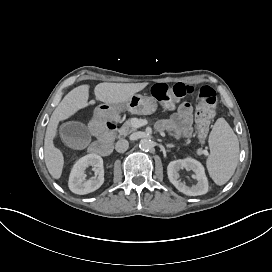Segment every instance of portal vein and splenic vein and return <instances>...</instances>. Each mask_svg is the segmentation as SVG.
I'll use <instances>...</instances> for the list:
<instances>
[{
    "mask_svg": "<svg viewBox=\"0 0 272 272\" xmlns=\"http://www.w3.org/2000/svg\"><path fill=\"white\" fill-rule=\"evenodd\" d=\"M148 124H149V120L148 119H144V118H133L132 119V126L135 129L144 127V126H146Z\"/></svg>",
    "mask_w": 272,
    "mask_h": 272,
    "instance_id": "1",
    "label": "portal vein and splenic vein"
}]
</instances>
